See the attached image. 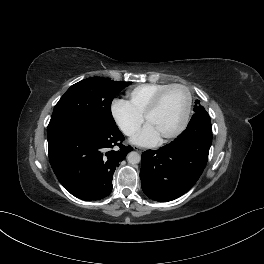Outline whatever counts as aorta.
<instances>
[{
  "mask_svg": "<svg viewBox=\"0 0 264 264\" xmlns=\"http://www.w3.org/2000/svg\"><path fill=\"white\" fill-rule=\"evenodd\" d=\"M127 160L130 164H138L141 161V156L137 152H130L127 155Z\"/></svg>",
  "mask_w": 264,
  "mask_h": 264,
  "instance_id": "1",
  "label": "aorta"
}]
</instances>
